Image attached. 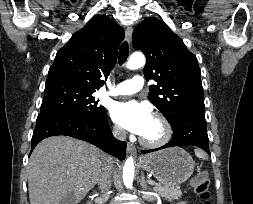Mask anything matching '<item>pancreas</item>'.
Segmentation results:
<instances>
[{
    "instance_id": "cf45deb5",
    "label": "pancreas",
    "mask_w": 253,
    "mask_h": 204,
    "mask_svg": "<svg viewBox=\"0 0 253 204\" xmlns=\"http://www.w3.org/2000/svg\"><path fill=\"white\" fill-rule=\"evenodd\" d=\"M153 190L169 201L179 199L182 196L180 187H168L157 183Z\"/></svg>"
}]
</instances>
